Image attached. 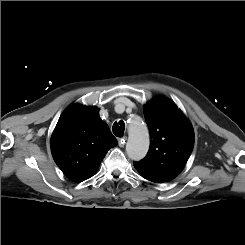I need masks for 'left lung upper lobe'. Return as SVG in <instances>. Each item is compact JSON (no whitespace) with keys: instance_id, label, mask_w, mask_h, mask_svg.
I'll use <instances>...</instances> for the list:
<instances>
[{"instance_id":"obj_1","label":"left lung upper lobe","mask_w":245,"mask_h":245,"mask_svg":"<svg viewBox=\"0 0 245 245\" xmlns=\"http://www.w3.org/2000/svg\"><path fill=\"white\" fill-rule=\"evenodd\" d=\"M143 110L151 142L146 157L134 162V167L149 179L171 181L182 172L192 153L195 140L192 124L165 97L152 99Z\"/></svg>"}]
</instances>
